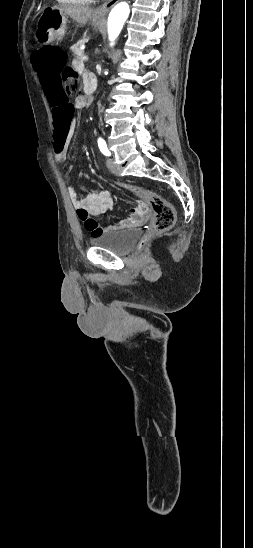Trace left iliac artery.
Masks as SVG:
<instances>
[{
  "label": "left iliac artery",
  "mask_w": 253,
  "mask_h": 548,
  "mask_svg": "<svg viewBox=\"0 0 253 548\" xmlns=\"http://www.w3.org/2000/svg\"><path fill=\"white\" fill-rule=\"evenodd\" d=\"M98 146H99L100 151L105 156H110L111 155V153L109 152V150L107 148L106 142L103 139L98 140Z\"/></svg>",
  "instance_id": "left-iliac-artery-1"
}]
</instances>
